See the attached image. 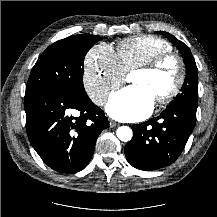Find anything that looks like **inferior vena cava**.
Listing matches in <instances>:
<instances>
[{"instance_id": "602c4592", "label": "inferior vena cava", "mask_w": 217, "mask_h": 217, "mask_svg": "<svg viewBox=\"0 0 217 217\" xmlns=\"http://www.w3.org/2000/svg\"><path fill=\"white\" fill-rule=\"evenodd\" d=\"M105 100V97H101L100 99H99V102H103Z\"/></svg>"}]
</instances>
